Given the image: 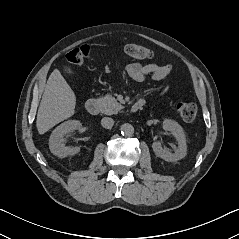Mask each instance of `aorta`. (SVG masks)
<instances>
[{
	"instance_id": "aorta-1",
	"label": "aorta",
	"mask_w": 239,
	"mask_h": 239,
	"mask_svg": "<svg viewBox=\"0 0 239 239\" xmlns=\"http://www.w3.org/2000/svg\"><path fill=\"white\" fill-rule=\"evenodd\" d=\"M121 133L125 136H132L134 134V127L129 123L121 125Z\"/></svg>"
}]
</instances>
